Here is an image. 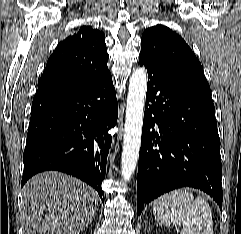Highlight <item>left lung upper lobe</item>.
I'll use <instances>...</instances> for the list:
<instances>
[{
    "label": "left lung upper lobe",
    "mask_w": 241,
    "mask_h": 234,
    "mask_svg": "<svg viewBox=\"0 0 241 234\" xmlns=\"http://www.w3.org/2000/svg\"><path fill=\"white\" fill-rule=\"evenodd\" d=\"M140 56L170 74L209 87L194 52L168 27L155 25L146 29L141 38Z\"/></svg>",
    "instance_id": "left-lung-upper-lobe-1"
}]
</instances>
